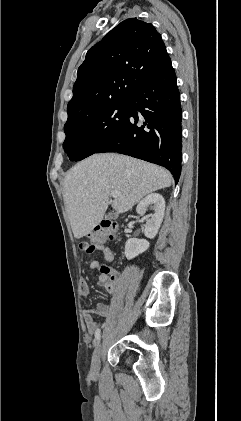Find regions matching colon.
<instances>
[{"instance_id": "colon-1", "label": "colon", "mask_w": 241, "mask_h": 421, "mask_svg": "<svg viewBox=\"0 0 241 421\" xmlns=\"http://www.w3.org/2000/svg\"><path fill=\"white\" fill-rule=\"evenodd\" d=\"M117 235V226L111 221H102L94 229V232L90 235V242H81L80 249L91 254L97 250V246L104 244L105 242L115 239ZM101 271L105 274H110L111 269L108 266H101Z\"/></svg>"}]
</instances>
